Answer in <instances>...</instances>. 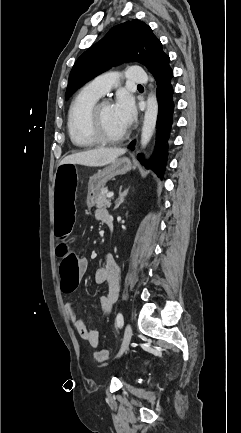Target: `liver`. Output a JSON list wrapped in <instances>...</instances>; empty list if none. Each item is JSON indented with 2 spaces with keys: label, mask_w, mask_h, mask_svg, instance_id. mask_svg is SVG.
Instances as JSON below:
<instances>
[{
  "label": "liver",
  "mask_w": 241,
  "mask_h": 433,
  "mask_svg": "<svg viewBox=\"0 0 241 433\" xmlns=\"http://www.w3.org/2000/svg\"><path fill=\"white\" fill-rule=\"evenodd\" d=\"M126 149L98 148L66 156L60 164L72 163L90 167H101L114 162Z\"/></svg>",
  "instance_id": "liver-1"
}]
</instances>
